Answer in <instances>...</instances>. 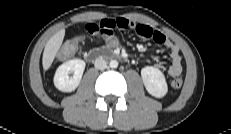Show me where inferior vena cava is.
Listing matches in <instances>:
<instances>
[{
  "instance_id": "602c4592",
  "label": "inferior vena cava",
  "mask_w": 231,
  "mask_h": 134,
  "mask_svg": "<svg viewBox=\"0 0 231 134\" xmlns=\"http://www.w3.org/2000/svg\"><path fill=\"white\" fill-rule=\"evenodd\" d=\"M94 65L96 69L103 70L107 67V62L102 57H99L95 60Z\"/></svg>"
}]
</instances>
